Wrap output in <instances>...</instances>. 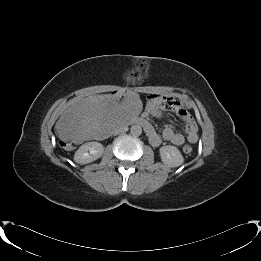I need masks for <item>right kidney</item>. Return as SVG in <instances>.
<instances>
[{
	"label": "right kidney",
	"instance_id": "ca27d5eb",
	"mask_svg": "<svg viewBox=\"0 0 261 261\" xmlns=\"http://www.w3.org/2000/svg\"><path fill=\"white\" fill-rule=\"evenodd\" d=\"M104 146L99 142H87L79 147L74 154V161L78 164L91 163L102 156Z\"/></svg>",
	"mask_w": 261,
	"mask_h": 261
}]
</instances>
